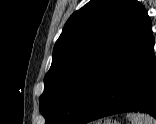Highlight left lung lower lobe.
<instances>
[{
	"label": "left lung lower lobe",
	"instance_id": "1",
	"mask_svg": "<svg viewBox=\"0 0 156 124\" xmlns=\"http://www.w3.org/2000/svg\"><path fill=\"white\" fill-rule=\"evenodd\" d=\"M151 26L117 61L78 124L123 112L156 118V73Z\"/></svg>",
	"mask_w": 156,
	"mask_h": 124
}]
</instances>
